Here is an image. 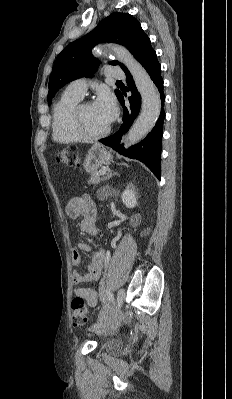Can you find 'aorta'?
<instances>
[{"label":"aorta","mask_w":232,"mask_h":399,"mask_svg":"<svg viewBox=\"0 0 232 399\" xmlns=\"http://www.w3.org/2000/svg\"><path fill=\"white\" fill-rule=\"evenodd\" d=\"M100 48L112 50L116 59L128 68L141 95V112L125 138V146H130L144 138L155 126L161 110L160 95L149 74L127 49L118 45ZM93 52L98 55L97 49Z\"/></svg>","instance_id":"aorta-1"}]
</instances>
